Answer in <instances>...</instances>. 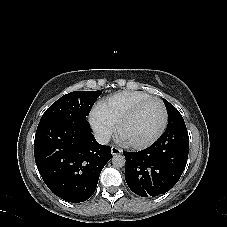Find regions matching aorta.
I'll use <instances>...</instances> for the list:
<instances>
[{
  "mask_svg": "<svg viewBox=\"0 0 227 227\" xmlns=\"http://www.w3.org/2000/svg\"><path fill=\"white\" fill-rule=\"evenodd\" d=\"M112 164L115 168H122L125 166L126 164V158L123 154H115L113 157H112Z\"/></svg>",
  "mask_w": 227,
  "mask_h": 227,
  "instance_id": "1",
  "label": "aorta"
}]
</instances>
